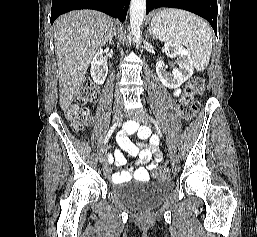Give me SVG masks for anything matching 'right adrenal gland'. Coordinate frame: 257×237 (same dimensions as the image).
Wrapping results in <instances>:
<instances>
[{
	"mask_svg": "<svg viewBox=\"0 0 257 237\" xmlns=\"http://www.w3.org/2000/svg\"><path fill=\"white\" fill-rule=\"evenodd\" d=\"M116 35H117V33H116V30H115L113 36H112V37L110 38V40H109V43H112V40H113L114 37H116Z\"/></svg>",
	"mask_w": 257,
	"mask_h": 237,
	"instance_id": "1",
	"label": "right adrenal gland"
}]
</instances>
